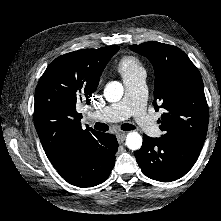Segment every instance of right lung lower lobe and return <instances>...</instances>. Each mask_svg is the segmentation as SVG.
I'll use <instances>...</instances> for the list:
<instances>
[{
  "mask_svg": "<svg viewBox=\"0 0 221 221\" xmlns=\"http://www.w3.org/2000/svg\"><path fill=\"white\" fill-rule=\"evenodd\" d=\"M117 148L114 135L99 132L89 146L73 149L52 164L70 184L82 188L96 186L109 177Z\"/></svg>",
  "mask_w": 221,
  "mask_h": 221,
  "instance_id": "right-lung-lower-lobe-1",
  "label": "right lung lower lobe"
}]
</instances>
